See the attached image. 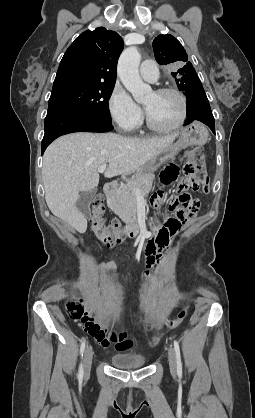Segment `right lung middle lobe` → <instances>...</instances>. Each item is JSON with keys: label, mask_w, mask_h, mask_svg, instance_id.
Wrapping results in <instances>:
<instances>
[{"label": "right lung middle lobe", "mask_w": 255, "mask_h": 418, "mask_svg": "<svg viewBox=\"0 0 255 418\" xmlns=\"http://www.w3.org/2000/svg\"><path fill=\"white\" fill-rule=\"evenodd\" d=\"M115 83L68 81L53 85L48 110L71 109L112 123L108 100Z\"/></svg>", "instance_id": "1"}]
</instances>
